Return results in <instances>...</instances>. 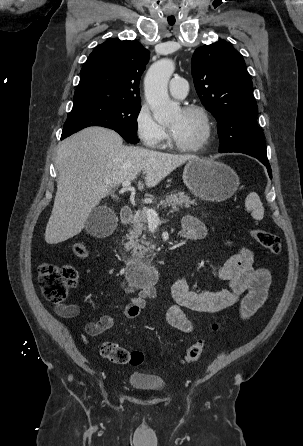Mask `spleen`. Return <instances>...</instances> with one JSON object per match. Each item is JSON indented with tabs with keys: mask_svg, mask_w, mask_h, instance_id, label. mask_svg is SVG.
I'll use <instances>...</instances> for the list:
<instances>
[{
	"mask_svg": "<svg viewBox=\"0 0 303 446\" xmlns=\"http://www.w3.org/2000/svg\"><path fill=\"white\" fill-rule=\"evenodd\" d=\"M245 207L251 211V215L255 220H262L264 217V207L257 193L251 192L245 200Z\"/></svg>",
	"mask_w": 303,
	"mask_h": 446,
	"instance_id": "spleen-1",
	"label": "spleen"
}]
</instances>
